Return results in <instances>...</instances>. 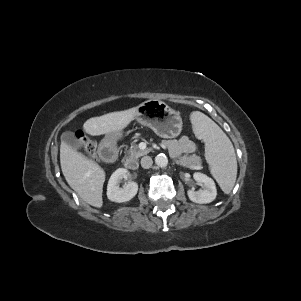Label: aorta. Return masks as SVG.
<instances>
[{
  "mask_svg": "<svg viewBox=\"0 0 301 301\" xmlns=\"http://www.w3.org/2000/svg\"><path fill=\"white\" fill-rule=\"evenodd\" d=\"M155 163L160 167H165L168 164V158L165 154H158L155 157Z\"/></svg>",
  "mask_w": 301,
  "mask_h": 301,
  "instance_id": "obj_1",
  "label": "aorta"
}]
</instances>
